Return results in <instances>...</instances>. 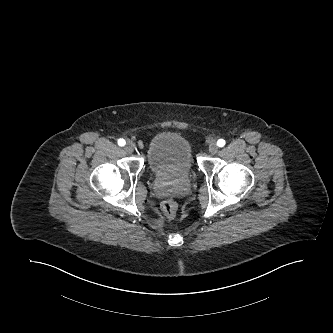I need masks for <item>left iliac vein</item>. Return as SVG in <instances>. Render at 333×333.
Instances as JSON below:
<instances>
[{
  "mask_svg": "<svg viewBox=\"0 0 333 333\" xmlns=\"http://www.w3.org/2000/svg\"><path fill=\"white\" fill-rule=\"evenodd\" d=\"M208 150L211 154H216L217 151H218V146L216 144L215 141H212L210 144H209V147H208Z\"/></svg>",
  "mask_w": 333,
  "mask_h": 333,
  "instance_id": "obj_1",
  "label": "left iliac vein"
}]
</instances>
